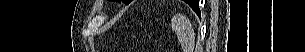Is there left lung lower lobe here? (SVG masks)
<instances>
[{
    "instance_id": "left-lung-lower-lobe-1",
    "label": "left lung lower lobe",
    "mask_w": 305,
    "mask_h": 52,
    "mask_svg": "<svg viewBox=\"0 0 305 52\" xmlns=\"http://www.w3.org/2000/svg\"><path fill=\"white\" fill-rule=\"evenodd\" d=\"M192 9L195 11V13L200 17V9L198 6V0H196L193 5H191Z\"/></svg>"
}]
</instances>
